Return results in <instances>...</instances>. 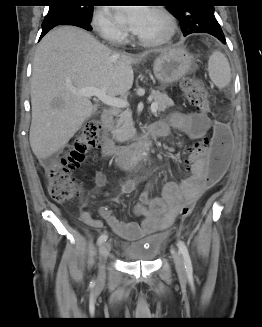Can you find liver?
Wrapping results in <instances>:
<instances>
[{"instance_id":"liver-1","label":"liver","mask_w":262,"mask_h":327,"mask_svg":"<svg viewBox=\"0 0 262 327\" xmlns=\"http://www.w3.org/2000/svg\"><path fill=\"white\" fill-rule=\"evenodd\" d=\"M136 58L112 52L90 33L72 26L49 32L37 47L31 77L29 141L42 161L61 150L98 109L73 90L104 88L112 97L132 87Z\"/></svg>"}]
</instances>
